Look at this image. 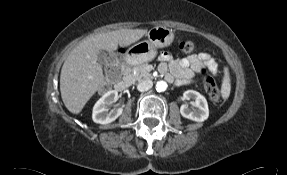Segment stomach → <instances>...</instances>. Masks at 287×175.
I'll use <instances>...</instances> for the list:
<instances>
[{
	"instance_id": "obj_1",
	"label": "stomach",
	"mask_w": 287,
	"mask_h": 175,
	"mask_svg": "<svg viewBox=\"0 0 287 175\" xmlns=\"http://www.w3.org/2000/svg\"><path fill=\"white\" fill-rule=\"evenodd\" d=\"M147 40L131 46L125 53L124 60L130 65H138L154 59L157 48L169 46L174 39L171 29L164 26H156L147 33Z\"/></svg>"
}]
</instances>
